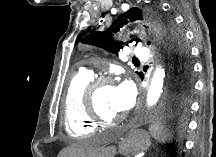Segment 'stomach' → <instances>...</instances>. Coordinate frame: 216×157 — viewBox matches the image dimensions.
<instances>
[{"mask_svg": "<svg viewBox=\"0 0 216 157\" xmlns=\"http://www.w3.org/2000/svg\"><path fill=\"white\" fill-rule=\"evenodd\" d=\"M150 144L151 141H150L149 134L146 131L139 129V130H131L124 137L121 146L123 148V151H125L129 155H137L147 150Z\"/></svg>", "mask_w": 216, "mask_h": 157, "instance_id": "0dacf381", "label": "stomach"}]
</instances>
